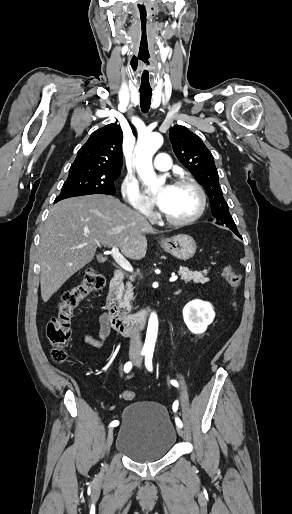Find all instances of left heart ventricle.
<instances>
[{
	"instance_id": "obj_1",
	"label": "left heart ventricle",
	"mask_w": 292,
	"mask_h": 514,
	"mask_svg": "<svg viewBox=\"0 0 292 514\" xmlns=\"http://www.w3.org/2000/svg\"><path fill=\"white\" fill-rule=\"evenodd\" d=\"M197 203V195L192 188L176 186L172 188L162 210L172 218L182 219L195 211Z\"/></svg>"
}]
</instances>
